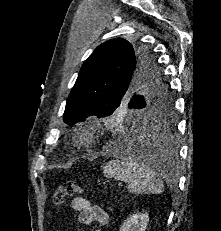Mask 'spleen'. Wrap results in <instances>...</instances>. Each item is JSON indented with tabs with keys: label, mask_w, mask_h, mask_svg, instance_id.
I'll list each match as a JSON object with an SVG mask.
<instances>
[{
	"label": "spleen",
	"mask_w": 221,
	"mask_h": 231,
	"mask_svg": "<svg viewBox=\"0 0 221 231\" xmlns=\"http://www.w3.org/2000/svg\"><path fill=\"white\" fill-rule=\"evenodd\" d=\"M103 173L107 178L126 182L133 194H160L163 191L159 174L133 157L109 161L103 166Z\"/></svg>",
	"instance_id": "3e777b00"
}]
</instances>
